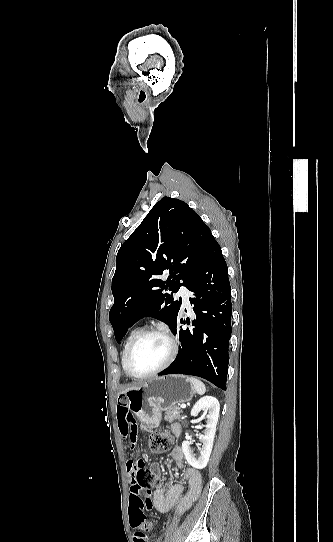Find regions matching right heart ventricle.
<instances>
[{"mask_svg":"<svg viewBox=\"0 0 333 542\" xmlns=\"http://www.w3.org/2000/svg\"><path fill=\"white\" fill-rule=\"evenodd\" d=\"M138 332H139V328L133 329L129 333V335L127 336V338H126V340L124 342L123 350H122V356H121V365H122V368H123L124 371H125V358H126L128 347H129L131 341L133 340V338L138 334Z\"/></svg>","mask_w":333,"mask_h":542,"instance_id":"obj_1","label":"right heart ventricle"}]
</instances>
